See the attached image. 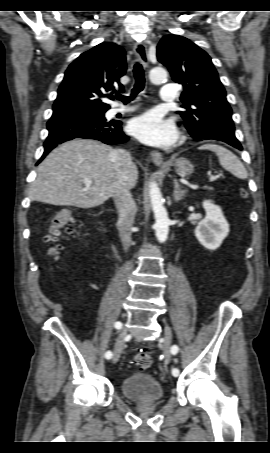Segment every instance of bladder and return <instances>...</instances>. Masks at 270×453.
Masks as SVG:
<instances>
[{"instance_id": "bladder-1", "label": "bladder", "mask_w": 270, "mask_h": 453, "mask_svg": "<svg viewBox=\"0 0 270 453\" xmlns=\"http://www.w3.org/2000/svg\"><path fill=\"white\" fill-rule=\"evenodd\" d=\"M125 398L133 401H158L164 397L161 383L148 373H133L124 378L120 385Z\"/></svg>"}]
</instances>
